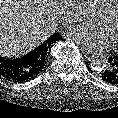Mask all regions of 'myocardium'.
I'll list each match as a JSON object with an SVG mask.
<instances>
[{
  "mask_svg": "<svg viewBox=\"0 0 118 118\" xmlns=\"http://www.w3.org/2000/svg\"><path fill=\"white\" fill-rule=\"evenodd\" d=\"M117 4L118 0H111L106 6L100 8L101 9L100 12L104 14H109L113 11V9L116 7ZM112 47L114 49H118V44H113Z\"/></svg>",
  "mask_w": 118,
  "mask_h": 118,
  "instance_id": "myocardium-1",
  "label": "myocardium"
}]
</instances>
